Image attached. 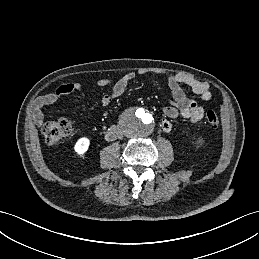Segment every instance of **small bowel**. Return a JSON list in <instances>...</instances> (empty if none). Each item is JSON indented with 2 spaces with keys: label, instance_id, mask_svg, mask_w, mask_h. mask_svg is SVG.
Returning a JSON list of instances; mask_svg holds the SVG:
<instances>
[{
  "label": "small bowel",
  "instance_id": "small-bowel-1",
  "mask_svg": "<svg viewBox=\"0 0 259 259\" xmlns=\"http://www.w3.org/2000/svg\"><path fill=\"white\" fill-rule=\"evenodd\" d=\"M139 74H144V70H140ZM164 76L172 93L170 105L163 109L165 118L162 119L160 127L168 133L172 130L171 120L181 117L192 123L200 121L204 116V108L195 100L190 99L183 89V86L189 87L195 94L199 95L204 101L211 99L212 94L207 82H202L195 79L187 73L165 72ZM135 78V73L129 72L118 79H101L97 82L98 87L112 85L111 92L104 94L101 97V102L104 106L109 105L116 97L121 96L129 83ZM82 85L79 82L66 83L53 92L38 97L32 106V116L37 125H42L44 116L42 109L45 106L56 104L62 96L71 94L75 90L81 89ZM79 101V99H75Z\"/></svg>",
  "mask_w": 259,
  "mask_h": 259
}]
</instances>
